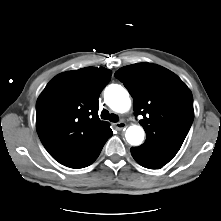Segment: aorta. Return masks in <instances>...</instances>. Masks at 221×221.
<instances>
[{"label": "aorta", "instance_id": "762f6f07", "mask_svg": "<svg viewBox=\"0 0 221 221\" xmlns=\"http://www.w3.org/2000/svg\"><path fill=\"white\" fill-rule=\"evenodd\" d=\"M106 104L115 112L124 113L131 107L128 91L121 85L112 84L105 89ZM144 130L141 126L133 125L126 130V140L133 146L140 145L144 140Z\"/></svg>", "mask_w": 221, "mask_h": 221}]
</instances>
